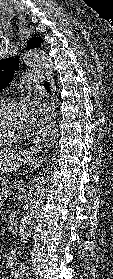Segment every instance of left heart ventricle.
<instances>
[{"instance_id":"1","label":"left heart ventricle","mask_w":113,"mask_h":279,"mask_svg":"<svg viewBox=\"0 0 113 279\" xmlns=\"http://www.w3.org/2000/svg\"><path fill=\"white\" fill-rule=\"evenodd\" d=\"M27 127L23 117L22 106L0 107V134L3 136H20L26 133Z\"/></svg>"}]
</instances>
